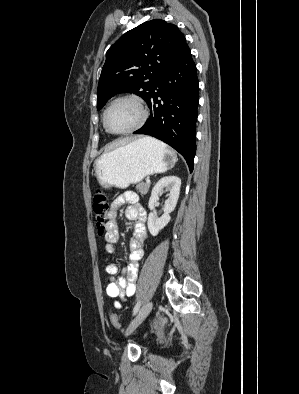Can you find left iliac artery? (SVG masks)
Instances as JSON below:
<instances>
[{"instance_id": "1", "label": "left iliac artery", "mask_w": 299, "mask_h": 394, "mask_svg": "<svg viewBox=\"0 0 299 394\" xmlns=\"http://www.w3.org/2000/svg\"><path fill=\"white\" fill-rule=\"evenodd\" d=\"M139 308H140V301L137 302V304L135 305L134 310H133V315H135L138 312Z\"/></svg>"}]
</instances>
